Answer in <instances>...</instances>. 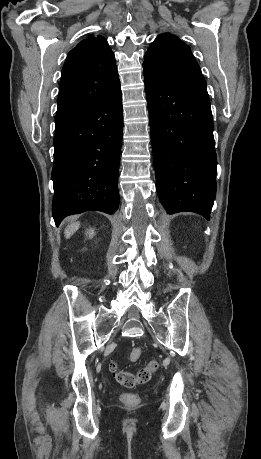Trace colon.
<instances>
[{
	"instance_id": "1",
	"label": "colon",
	"mask_w": 261,
	"mask_h": 459,
	"mask_svg": "<svg viewBox=\"0 0 261 459\" xmlns=\"http://www.w3.org/2000/svg\"><path fill=\"white\" fill-rule=\"evenodd\" d=\"M142 356V350L140 348H133L129 352V360L137 361ZM159 363L156 360L150 361L146 367L140 369L137 373H133L127 370H120L117 363L114 361L109 362V369L114 375L118 384L126 388H132L136 385L144 384L148 382L153 373L158 370ZM122 401L127 404H132L136 401V397L133 394L125 393L122 395Z\"/></svg>"
}]
</instances>
